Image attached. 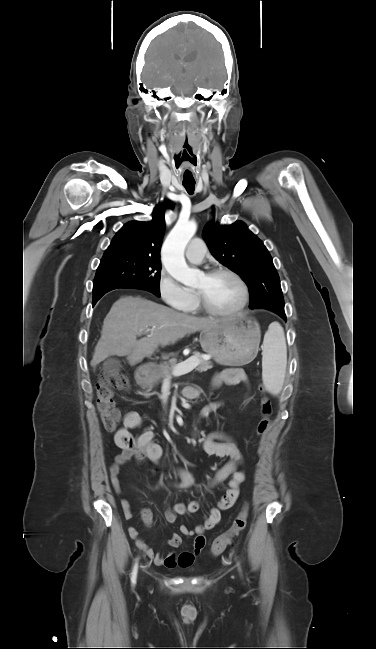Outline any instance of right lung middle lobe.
<instances>
[{"instance_id": "right-lung-middle-lobe-1", "label": "right lung middle lobe", "mask_w": 376, "mask_h": 649, "mask_svg": "<svg viewBox=\"0 0 376 649\" xmlns=\"http://www.w3.org/2000/svg\"><path fill=\"white\" fill-rule=\"evenodd\" d=\"M160 275V257L133 253L103 255L93 281V298L109 288H137L160 297Z\"/></svg>"}]
</instances>
